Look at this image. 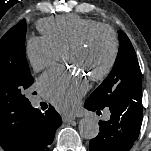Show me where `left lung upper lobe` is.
<instances>
[{"label":"left lung upper lobe","mask_w":151,"mask_h":151,"mask_svg":"<svg viewBox=\"0 0 151 151\" xmlns=\"http://www.w3.org/2000/svg\"><path fill=\"white\" fill-rule=\"evenodd\" d=\"M118 34L119 52L113 69L87 98L97 109L122 103L132 88L142 85V74L135 50L123 31L119 30Z\"/></svg>","instance_id":"left-lung-upper-lobe-1"}]
</instances>
